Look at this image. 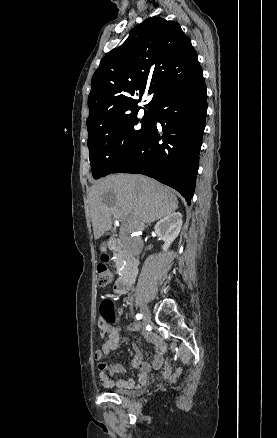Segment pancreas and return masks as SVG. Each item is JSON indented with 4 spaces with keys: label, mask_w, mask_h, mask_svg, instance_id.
<instances>
[{
    "label": "pancreas",
    "mask_w": 277,
    "mask_h": 438,
    "mask_svg": "<svg viewBox=\"0 0 277 438\" xmlns=\"http://www.w3.org/2000/svg\"><path fill=\"white\" fill-rule=\"evenodd\" d=\"M99 244H109L108 243V241H100V243ZM116 258L119 256L117 253L114 255ZM114 264L117 266V267H120L122 264H123V261L120 259V258H117L115 261H114Z\"/></svg>",
    "instance_id": "cf45deb5"
}]
</instances>
